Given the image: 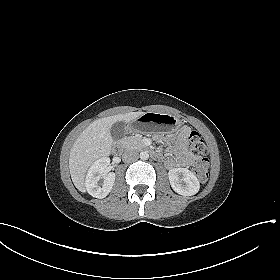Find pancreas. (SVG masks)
Masks as SVG:
<instances>
[{
	"mask_svg": "<svg viewBox=\"0 0 280 280\" xmlns=\"http://www.w3.org/2000/svg\"><path fill=\"white\" fill-rule=\"evenodd\" d=\"M125 148L127 149H141L144 147L142 139L139 136H130L125 140Z\"/></svg>",
	"mask_w": 280,
	"mask_h": 280,
	"instance_id": "obj_1",
	"label": "pancreas"
}]
</instances>
